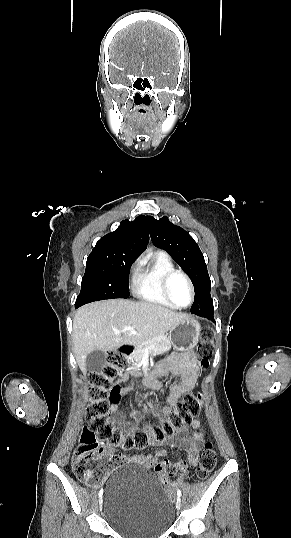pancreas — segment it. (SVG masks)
I'll use <instances>...</instances> for the list:
<instances>
[{
    "mask_svg": "<svg viewBox=\"0 0 291 538\" xmlns=\"http://www.w3.org/2000/svg\"><path fill=\"white\" fill-rule=\"evenodd\" d=\"M170 348V341L159 336L138 344L134 353L128 359L132 362L133 367H137L145 355H160L170 350Z\"/></svg>",
    "mask_w": 291,
    "mask_h": 538,
    "instance_id": "1",
    "label": "pancreas"
}]
</instances>
